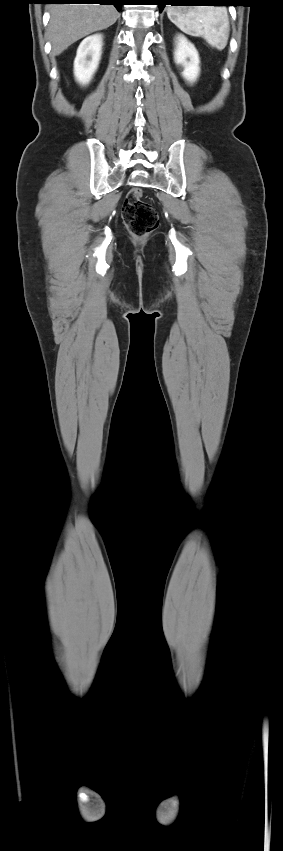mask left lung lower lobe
I'll use <instances>...</instances> for the list:
<instances>
[{
    "label": "left lung lower lobe",
    "instance_id": "1",
    "mask_svg": "<svg viewBox=\"0 0 283 851\" xmlns=\"http://www.w3.org/2000/svg\"><path fill=\"white\" fill-rule=\"evenodd\" d=\"M229 0H156L159 5L160 12L165 5H221L227 6Z\"/></svg>",
    "mask_w": 283,
    "mask_h": 851
}]
</instances>
